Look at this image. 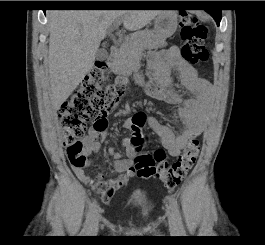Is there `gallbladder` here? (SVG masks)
Segmentation results:
<instances>
[{
  "instance_id": "gallbladder-1",
  "label": "gallbladder",
  "mask_w": 265,
  "mask_h": 245,
  "mask_svg": "<svg viewBox=\"0 0 265 245\" xmlns=\"http://www.w3.org/2000/svg\"><path fill=\"white\" fill-rule=\"evenodd\" d=\"M108 56V52L106 51V49L104 48H101V49H98V51L96 52V59L97 60H104L106 57Z\"/></svg>"
}]
</instances>
